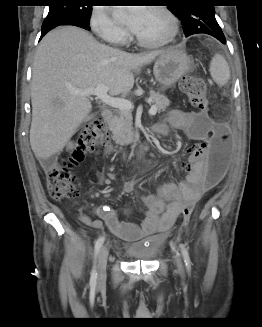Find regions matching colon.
Listing matches in <instances>:
<instances>
[{"instance_id": "5ec220e1", "label": "colon", "mask_w": 262, "mask_h": 327, "mask_svg": "<svg viewBox=\"0 0 262 327\" xmlns=\"http://www.w3.org/2000/svg\"><path fill=\"white\" fill-rule=\"evenodd\" d=\"M180 89L189 102L201 111L208 110L207 88L204 80L198 76H185L180 81ZM109 143V136L105 123L100 118L88 122L82 129L76 140L74 151L69 159L60 165L53 167L47 175V187L50 195L57 200H66L78 194L75 178L71 172L73 166L81 162L85 153L96 147H102ZM231 150V132L227 125L216 124L215 137L210 149L205 143L193 145L189 153H201L205 155L208 170L206 176L207 189L215 187L224 178ZM198 154V153H197ZM196 204V201H187L181 214L188 218Z\"/></svg>"}]
</instances>
